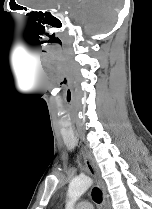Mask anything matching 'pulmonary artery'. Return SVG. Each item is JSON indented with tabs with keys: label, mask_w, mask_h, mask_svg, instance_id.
Returning a JSON list of instances; mask_svg holds the SVG:
<instances>
[{
	"label": "pulmonary artery",
	"mask_w": 152,
	"mask_h": 209,
	"mask_svg": "<svg viewBox=\"0 0 152 209\" xmlns=\"http://www.w3.org/2000/svg\"><path fill=\"white\" fill-rule=\"evenodd\" d=\"M76 209H93V206L90 202L82 201L76 205Z\"/></svg>",
	"instance_id": "pulmonary-artery-1"
}]
</instances>
